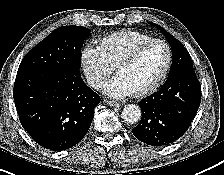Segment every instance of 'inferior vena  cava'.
Masks as SVG:
<instances>
[{
    "label": "inferior vena cava",
    "mask_w": 224,
    "mask_h": 175,
    "mask_svg": "<svg viewBox=\"0 0 224 175\" xmlns=\"http://www.w3.org/2000/svg\"><path fill=\"white\" fill-rule=\"evenodd\" d=\"M87 83L95 88V89H99L102 86V79L99 76H95V75H90L87 77Z\"/></svg>",
    "instance_id": "602c4592"
}]
</instances>
